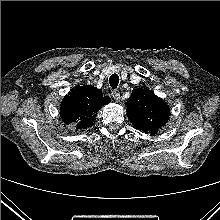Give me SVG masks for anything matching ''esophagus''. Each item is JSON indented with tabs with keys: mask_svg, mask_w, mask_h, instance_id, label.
I'll use <instances>...</instances> for the list:
<instances>
[{
	"mask_svg": "<svg viewBox=\"0 0 220 220\" xmlns=\"http://www.w3.org/2000/svg\"><path fill=\"white\" fill-rule=\"evenodd\" d=\"M112 97L115 101H119L120 100V92L117 90L112 91Z\"/></svg>",
	"mask_w": 220,
	"mask_h": 220,
	"instance_id": "1",
	"label": "esophagus"
}]
</instances>
